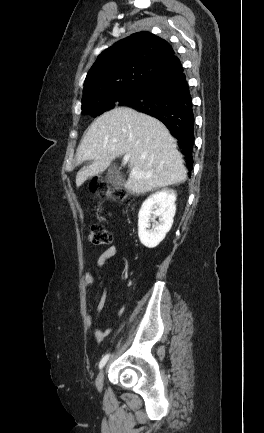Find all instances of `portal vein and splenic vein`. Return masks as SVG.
Masks as SVG:
<instances>
[{"mask_svg":"<svg viewBox=\"0 0 264 433\" xmlns=\"http://www.w3.org/2000/svg\"><path fill=\"white\" fill-rule=\"evenodd\" d=\"M123 161H124V164H126L129 161V155H125L123 158ZM136 174H137V172L133 169L131 171V175H136Z\"/></svg>","mask_w":264,"mask_h":433,"instance_id":"portal-vein-and-splenic-vein-1","label":"portal vein and splenic vein"}]
</instances>
